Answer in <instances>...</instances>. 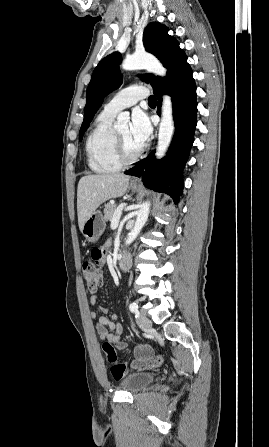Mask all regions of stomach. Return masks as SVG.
Here are the masks:
<instances>
[{
	"label": "stomach",
	"instance_id": "0dacf381",
	"mask_svg": "<svg viewBox=\"0 0 269 447\" xmlns=\"http://www.w3.org/2000/svg\"><path fill=\"white\" fill-rule=\"evenodd\" d=\"M140 186H131V190L133 192H138ZM105 218L102 216L99 210L93 212L91 216H89L88 220H86L83 225L82 233L84 237H86L87 241H97L99 239L101 233H103L105 229Z\"/></svg>",
	"mask_w": 269,
	"mask_h": 447
}]
</instances>
